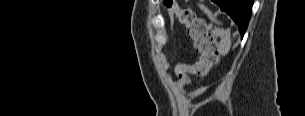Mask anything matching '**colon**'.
<instances>
[{
  "mask_svg": "<svg viewBox=\"0 0 305 116\" xmlns=\"http://www.w3.org/2000/svg\"><path fill=\"white\" fill-rule=\"evenodd\" d=\"M168 2L166 4L168 9L173 12L180 23L186 26L197 53L194 62L176 65L175 74L183 80H188L190 75L203 78L208 75L217 62L216 35L208 31L205 21L193 10L182 8L176 0Z\"/></svg>",
  "mask_w": 305,
  "mask_h": 116,
  "instance_id": "1",
  "label": "colon"
}]
</instances>
